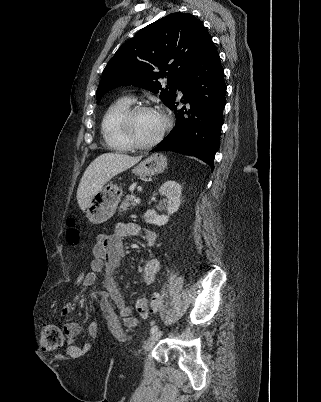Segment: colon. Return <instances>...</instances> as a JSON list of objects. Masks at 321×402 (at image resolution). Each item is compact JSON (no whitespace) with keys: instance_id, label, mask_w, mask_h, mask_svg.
Here are the masks:
<instances>
[{"instance_id":"obj_1","label":"colon","mask_w":321,"mask_h":402,"mask_svg":"<svg viewBox=\"0 0 321 402\" xmlns=\"http://www.w3.org/2000/svg\"><path fill=\"white\" fill-rule=\"evenodd\" d=\"M67 240L69 244L76 246L80 241V232L76 228L74 219L68 221ZM77 282L82 283L85 280L84 275L79 274L76 277ZM78 290V289H77ZM161 306V301L158 296H154L149 304V307L141 304L137 306L140 314H146L150 311L156 312ZM64 336L60 328L55 324H48L44 327L41 338V345L44 350L54 351L62 347Z\"/></svg>"}]
</instances>
